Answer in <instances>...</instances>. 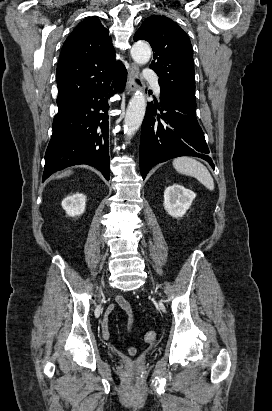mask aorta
<instances>
[{
  "instance_id": "obj_1",
  "label": "aorta",
  "mask_w": 272,
  "mask_h": 411,
  "mask_svg": "<svg viewBox=\"0 0 272 411\" xmlns=\"http://www.w3.org/2000/svg\"><path fill=\"white\" fill-rule=\"evenodd\" d=\"M131 56L136 63L146 64L151 57V49L144 42H136L131 48ZM145 110V95L141 91H136L129 102L124 120V131L127 138H131L141 126Z\"/></svg>"
}]
</instances>
